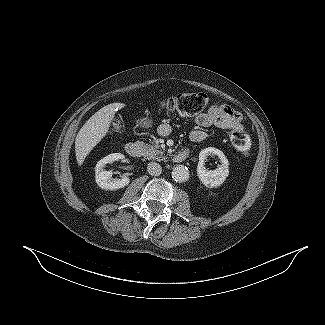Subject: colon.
Returning <instances> with one entry per match:
<instances>
[{
  "mask_svg": "<svg viewBox=\"0 0 325 325\" xmlns=\"http://www.w3.org/2000/svg\"><path fill=\"white\" fill-rule=\"evenodd\" d=\"M209 104V97L202 92L181 93L160 100L161 109L180 116H194L201 113ZM233 147L243 156L249 155L251 141L245 131L235 128L230 132Z\"/></svg>",
  "mask_w": 325,
  "mask_h": 325,
  "instance_id": "1",
  "label": "colon"
}]
</instances>
